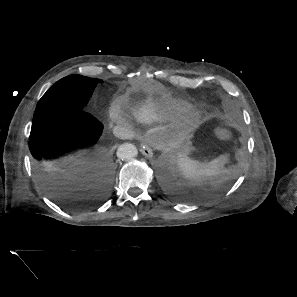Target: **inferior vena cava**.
Instances as JSON below:
<instances>
[{"instance_id":"602c4592","label":"inferior vena cava","mask_w":297,"mask_h":297,"mask_svg":"<svg viewBox=\"0 0 297 297\" xmlns=\"http://www.w3.org/2000/svg\"><path fill=\"white\" fill-rule=\"evenodd\" d=\"M113 133L115 136L121 139H129L132 137V131L129 127L126 126H115L113 129Z\"/></svg>"}]
</instances>
